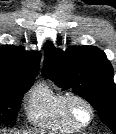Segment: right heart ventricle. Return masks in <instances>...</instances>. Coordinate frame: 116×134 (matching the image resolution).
<instances>
[{
    "instance_id": "obj_1",
    "label": "right heart ventricle",
    "mask_w": 116,
    "mask_h": 134,
    "mask_svg": "<svg viewBox=\"0 0 116 134\" xmlns=\"http://www.w3.org/2000/svg\"><path fill=\"white\" fill-rule=\"evenodd\" d=\"M65 94L47 82L39 83L30 93L26 112L31 123L42 128L62 133L80 130L63 109Z\"/></svg>"
}]
</instances>
